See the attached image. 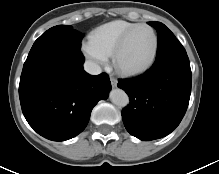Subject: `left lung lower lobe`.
Here are the masks:
<instances>
[{"mask_svg":"<svg viewBox=\"0 0 219 174\" xmlns=\"http://www.w3.org/2000/svg\"><path fill=\"white\" fill-rule=\"evenodd\" d=\"M191 79L187 53L166 54L143 75L120 79L118 87L130 98L122 110L127 131L144 141L170 134L187 110Z\"/></svg>","mask_w":219,"mask_h":174,"instance_id":"left-lung-lower-lobe-1","label":"left lung lower lobe"}]
</instances>
